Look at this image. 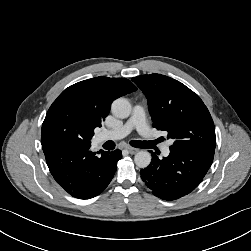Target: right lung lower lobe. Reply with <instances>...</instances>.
I'll list each match as a JSON object with an SVG mask.
<instances>
[{
  "instance_id": "right-lung-lower-lobe-1",
  "label": "right lung lower lobe",
  "mask_w": 251,
  "mask_h": 251,
  "mask_svg": "<svg viewBox=\"0 0 251 251\" xmlns=\"http://www.w3.org/2000/svg\"><path fill=\"white\" fill-rule=\"evenodd\" d=\"M90 146L55 143L42 145L47 165L56 182L79 199L99 195L112 180L117 162L122 158L118 149L101 151L97 156L89 150Z\"/></svg>"
}]
</instances>
